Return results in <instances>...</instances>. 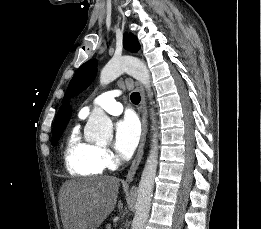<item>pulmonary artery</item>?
<instances>
[{"instance_id": "pulmonary-artery-1", "label": "pulmonary artery", "mask_w": 261, "mask_h": 229, "mask_svg": "<svg viewBox=\"0 0 261 229\" xmlns=\"http://www.w3.org/2000/svg\"><path fill=\"white\" fill-rule=\"evenodd\" d=\"M122 94L121 90H109L97 95L92 100L93 106H99L111 115H119L122 112V106L115 100L116 97ZM90 109V105L83 108L84 113L80 114L81 117H85Z\"/></svg>"}]
</instances>
